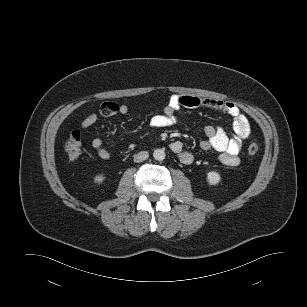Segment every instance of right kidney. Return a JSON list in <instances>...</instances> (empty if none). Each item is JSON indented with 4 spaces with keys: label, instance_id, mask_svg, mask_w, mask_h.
Instances as JSON below:
<instances>
[{
    "label": "right kidney",
    "instance_id": "1",
    "mask_svg": "<svg viewBox=\"0 0 307 307\" xmlns=\"http://www.w3.org/2000/svg\"><path fill=\"white\" fill-rule=\"evenodd\" d=\"M104 179H105L104 175H97V176L94 178V181H95V183L100 184V183H102V182L104 181Z\"/></svg>",
    "mask_w": 307,
    "mask_h": 307
}]
</instances>
